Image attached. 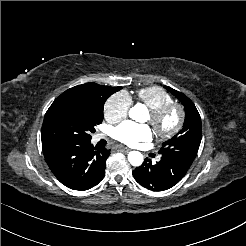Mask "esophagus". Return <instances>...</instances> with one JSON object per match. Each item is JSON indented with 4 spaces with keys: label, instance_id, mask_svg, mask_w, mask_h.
I'll list each match as a JSON object with an SVG mask.
<instances>
[{
    "label": "esophagus",
    "instance_id": "1",
    "mask_svg": "<svg viewBox=\"0 0 246 246\" xmlns=\"http://www.w3.org/2000/svg\"><path fill=\"white\" fill-rule=\"evenodd\" d=\"M116 150L119 151V152H123V153L130 152V149L129 148L123 147V146L118 147Z\"/></svg>",
    "mask_w": 246,
    "mask_h": 246
}]
</instances>
